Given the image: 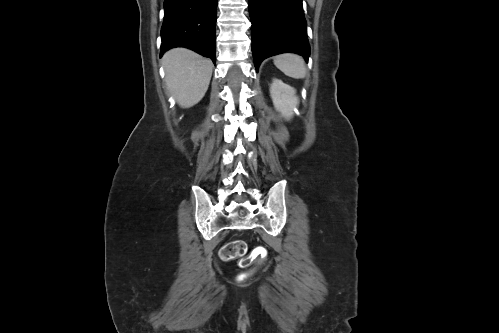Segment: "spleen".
I'll return each mask as SVG.
<instances>
[{
	"label": "spleen",
	"mask_w": 499,
	"mask_h": 333,
	"mask_svg": "<svg viewBox=\"0 0 499 333\" xmlns=\"http://www.w3.org/2000/svg\"><path fill=\"white\" fill-rule=\"evenodd\" d=\"M274 65L285 75L301 79L306 75V67L302 57L286 53L274 58Z\"/></svg>",
	"instance_id": "spleen-1"
}]
</instances>
